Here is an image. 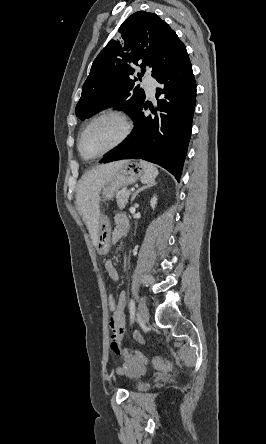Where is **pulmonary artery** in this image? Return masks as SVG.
Wrapping results in <instances>:
<instances>
[{
    "instance_id": "e3ab8cb5",
    "label": "pulmonary artery",
    "mask_w": 266,
    "mask_h": 444,
    "mask_svg": "<svg viewBox=\"0 0 266 444\" xmlns=\"http://www.w3.org/2000/svg\"><path fill=\"white\" fill-rule=\"evenodd\" d=\"M142 84L144 86V88L146 89V93L149 97H154L155 95V90H156V81L150 77V76H145Z\"/></svg>"
}]
</instances>
